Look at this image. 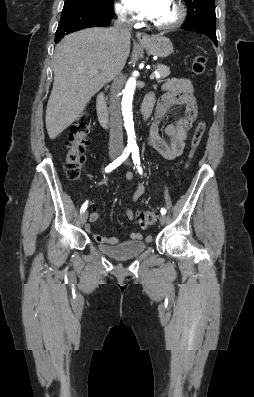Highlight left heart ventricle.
<instances>
[{
	"mask_svg": "<svg viewBox=\"0 0 254 397\" xmlns=\"http://www.w3.org/2000/svg\"><path fill=\"white\" fill-rule=\"evenodd\" d=\"M177 17V8L171 0H164L159 12L152 18L156 24H168Z\"/></svg>",
	"mask_w": 254,
	"mask_h": 397,
	"instance_id": "obj_1",
	"label": "left heart ventricle"
}]
</instances>
